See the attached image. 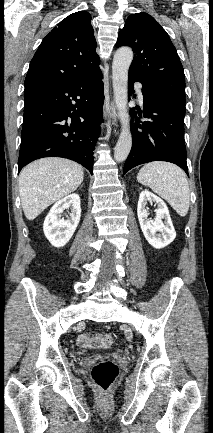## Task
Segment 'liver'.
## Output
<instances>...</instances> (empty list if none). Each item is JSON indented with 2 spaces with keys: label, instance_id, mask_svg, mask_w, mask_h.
Listing matches in <instances>:
<instances>
[{
  "label": "liver",
  "instance_id": "liver-1",
  "mask_svg": "<svg viewBox=\"0 0 213 433\" xmlns=\"http://www.w3.org/2000/svg\"><path fill=\"white\" fill-rule=\"evenodd\" d=\"M83 168L59 157H47L23 168L19 175V193L23 212L34 220L48 206L74 192L82 183Z\"/></svg>",
  "mask_w": 213,
  "mask_h": 433
}]
</instances>
